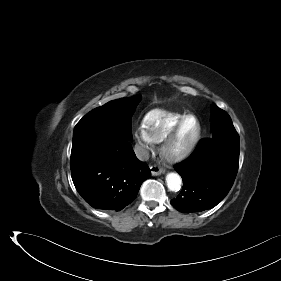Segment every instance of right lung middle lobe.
<instances>
[{
	"instance_id": "right-lung-middle-lobe-1",
	"label": "right lung middle lobe",
	"mask_w": 281,
	"mask_h": 281,
	"mask_svg": "<svg viewBox=\"0 0 281 281\" xmlns=\"http://www.w3.org/2000/svg\"><path fill=\"white\" fill-rule=\"evenodd\" d=\"M141 99V95L125 97L90 111L76 124L73 145L86 139H99L111 135L130 139L131 117Z\"/></svg>"
}]
</instances>
